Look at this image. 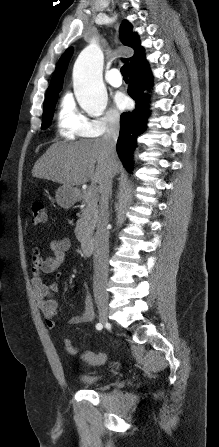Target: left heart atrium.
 <instances>
[{
	"label": "left heart atrium",
	"instance_id": "39dd6f15",
	"mask_svg": "<svg viewBox=\"0 0 219 447\" xmlns=\"http://www.w3.org/2000/svg\"><path fill=\"white\" fill-rule=\"evenodd\" d=\"M115 104L120 110H124L129 106V99L122 93H118L115 96Z\"/></svg>",
	"mask_w": 219,
	"mask_h": 447
}]
</instances>
